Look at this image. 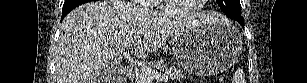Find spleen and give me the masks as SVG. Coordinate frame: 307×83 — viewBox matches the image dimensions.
Returning <instances> with one entry per match:
<instances>
[{
	"instance_id": "spleen-1",
	"label": "spleen",
	"mask_w": 307,
	"mask_h": 83,
	"mask_svg": "<svg viewBox=\"0 0 307 83\" xmlns=\"http://www.w3.org/2000/svg\"><path fill=\"white\" fill-rule=\"evenodd\" d=\"M232 83H246L245 75L242 69L236 70Z\"/></svg>"
}]
</instances>
